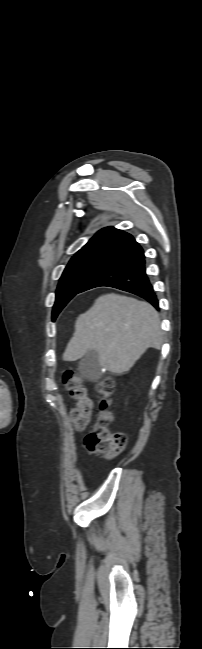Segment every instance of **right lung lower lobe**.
<instances>
[{"label": "right lung lower lobe", "instance_id": "obj_1", "mask_svg": "<svg viewBox=\"0 0 202 649\" xmlns=\"http://www.w3.org/2000/svg\"><path fill=\"white\" fill-rule=\"evenodd\" d=\"M99 286L136 294L158 308L156 293L145 272V256L140 245L114 256L85 283L80 292Z\"/></svg>", "mask_w": 202, "mask_h": 649}]
</instances>
